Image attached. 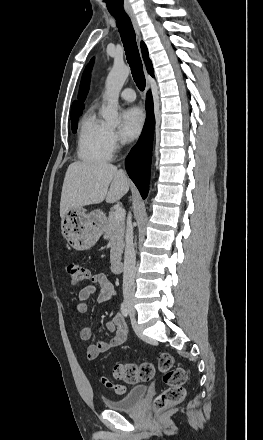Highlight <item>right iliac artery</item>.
Instances as JSON below:
<instances>
[{
    "label": "right iliac artery",
    "instance_id": "82829eb1",
    "mask_svg": "<svg viewBox=\"0 0 263 440\" xmlns=\"http://www.w3.org/2000/svg\"><path fill=\"white\" fill-rule=\"evenodd\" d=\"M120 310L123 316L127 318L129 315V309L125 300L122 302Z\"/></svg>",
    "mask_w": 263,
    "mask_h": 440
}]
</instances>
